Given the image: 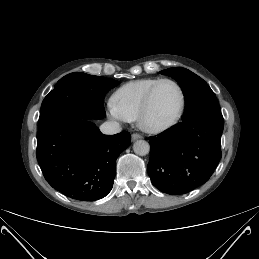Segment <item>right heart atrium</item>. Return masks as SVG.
<instances>
[{"label":"right heart atrium","mask_w":259,"mask_h":259,"mask_svg":"<svg viewBox=\"0 0 259 259\" xmlns=\"http://www.w3.org/2000/svg\"><path fill=\"white\" fill-rule=\"evenodd\" d=\"M107 109H108V113H109L111 118H113L115 120H119V121L125 120L123 118V116L120 114V112L118 111V109L116 108L113 101L108 102Z\"/></svg>","instance_id":"right-heart-atrium-1"}]
</instances>
